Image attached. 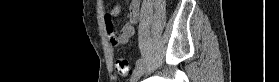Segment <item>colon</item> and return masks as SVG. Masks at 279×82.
I'll return each instance as SVG.
<instances>
[{"label":"colon","mask_w":279,"mask_h":82,"mask_svg":"<svg viewBox=\"0 0 279 82\" xmlns=\"http://www.w3.org/2000/svg\"><path fill=\"white\" fill-rule=\"evenodd\" d=\"M115 68L116 71L122 76H126L131 72L129 62L125 57H118L116 59Z\"/></svg>","instance_id":"obj_1"}]
</instances>
